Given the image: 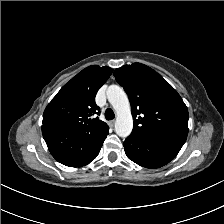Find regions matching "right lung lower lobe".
<instances>
[{
    "label": "right lung lower lobe",
    "instance_id": "1",
    "mask_svg": "<svg viewBox=\"0 0 224 224\" xmlns=\"http://www.w3.org/2000/svg\"><path fill=\"white\" fill-rule=\"evenodd\" d=\"M109 128L100 133H79L54 125H43L42 133L53 157L69 167L89 164L99 154Z\"/></svg>",
    "mask_w": 224,
    "mask_h": 224
}]
</instances>
